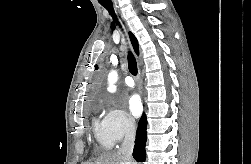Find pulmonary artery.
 Returning a JSON list of instances; mask_svg holds the SVG:
<instances>
[{"label":"pulmonary artery","instance_id":"pulmonary-artery-1","mask_svg":"<svg viewBox=\"0 0 251 164\" xmlns=\"http://www.w3.org/2000/svg\"><path fill=\"white\" fill-rule=\"evenodd\" d=\"M124 81L128 87H134V85H135L134 80L131 76H126Z\"/></svg>","mask_w":251,"mask_h":164}]
</instances>
